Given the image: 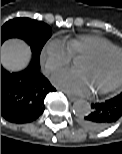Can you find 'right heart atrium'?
I'll return each instance as SVG.
<instances>
[{"instance_id":"d8ad5b80","label":"right heart atrium","mask_w":122,"mask_h":154,"mask_svg":"<svg viewBox=\"0 0 122 154\" xmlns=\"http://www.w3.org/2000/svg\"><path fill=\"white\" fill-rule=\"evenodd\" d=\"M72 58L66 41L60 38L48 40L41 51V61L47 73H54L68 66Z\"/></svg>"}]
</instances>
